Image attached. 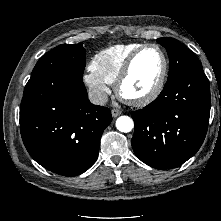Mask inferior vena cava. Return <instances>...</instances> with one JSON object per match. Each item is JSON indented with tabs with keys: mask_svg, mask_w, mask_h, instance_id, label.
<instances>
[{
	"mask_svg": "<svg viewBox=\"0 0 221 221\" xmlns=\"http://www.w3.org/2000/svg\"><path fill=\"white\" fill-rule=\"evenodd\" d=\"M88 97L91 103L95 105H105L108 101V96L104 91L91 89L88 92Z\"/></svg>",
	"mask_w": 221,
	"mask_h": 221,
	"instance_id": "1",
	"label": "inferior vena cava"
}]
</instances>
